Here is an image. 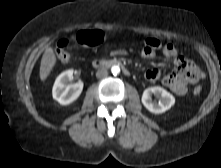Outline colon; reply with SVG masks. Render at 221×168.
<instances>
[{"label": "colon", "mask_w": 221, "mask_h": 168, "mask_svg": "<svg viewBox=\"0 0 221 168\" xmlns=\"http://www.w3.org/2000/svg\"><path fill=\"white\" fill-rule=\"evenodd\" d=\"M75 40L82 46L96 47L104 41V33L101 30H83L76 34ZM70 43L69 39H62L57 43L55 55L59 62L66 63L71 59ZM144 45L153 50L161 47L160 41L155 38L146 39ZM201 92L200 86H196L193 90L195 95H199Z\"/></svg>", "instance_id": "obj_1"}]
</instances>
